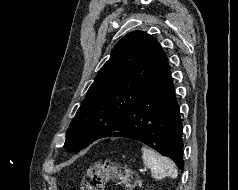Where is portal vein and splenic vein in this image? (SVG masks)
I'll return each instance as SVG.
<instances>
[{
    "instance_id": "portal-vein-and-splenic-vein-1",
    "label": "portal vein and splenic vein",
    "mask_w": 238,
    "mask_h": 190,
    "mask_svg": "<svg viewBox=\"0 0 238 190\" xmlns=\"http://www.w3.org/2000/svg\"><path fill=\"white\" fill-rule=\"evenodd\" d=\"M140 172H145V169H140Z\"/></svg>"
}]
</instances>
